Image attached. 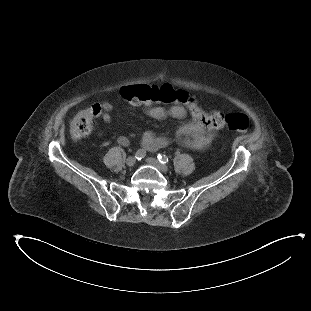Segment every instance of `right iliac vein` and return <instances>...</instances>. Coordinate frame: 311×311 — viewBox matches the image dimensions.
Segmentation results:
<instances>
[{"label": "right iliac vein", "instance_id": "1", "mask_svg": "<svg viewBox=\"0 0 311 311\" xmlns=\"http://www.w3.org/2000/svg\"><path fill=\"white\" fill-rule=\"evenodd\" d=\"M136 163V158L135 157H129L127 160H126V164L128 167H132L134 166Z\"/></svg>", "mask_w": 311, "mask_h": 311}]
</instances>
